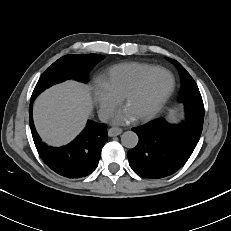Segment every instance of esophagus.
<instances>
[{
  "label": "esophagus",
  "instance_id": "obj_1",
  "mask_svg": "<svg viewBox=\"0 0 231 231\" xmlns=\"http://www.w3.org/2000/svg\"><path fill=\"white\" fill-rule=\"evenodd\" d=\"M123 132V129L118 128V127H112L108 130V136L109 137H114L118 136Z\"/></svg>",
  "mask_w": 231,
  "mask_h": 231
}]
</instances>
